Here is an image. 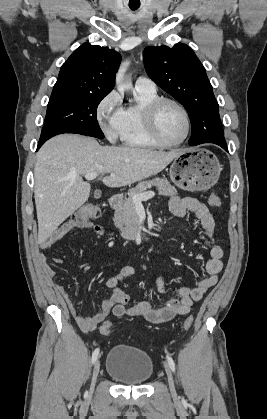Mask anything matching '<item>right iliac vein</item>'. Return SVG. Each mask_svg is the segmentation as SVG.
Returning a JSON list of instances; mask_svg holds the SVG:
<instances>
[{"label": "right iliac vein", "instance_id": "right-iliac-vein-1", "mask_svg": "<svg viewBox=\"0 0 267 419\" xmlns=\"http://www.w3.org/2000/svg\"><path fill=\"white\" fill-rule=\"evenodd\" d=\"M99 370H100V362L99 360H97L95 362L94 368H93V373H92V380H91V388H90V392L89 395L92 394L98 374H99Z\"/></svg>", "mask_w": 267, "mask_h": 419}]
</instances>
